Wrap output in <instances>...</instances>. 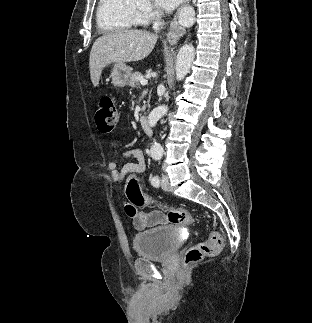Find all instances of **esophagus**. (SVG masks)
<instances>
[{
	"label": "esophagus",
	"mask_w": 312,
	"mask_h": 323,
	"mask_svg": "<svg viewBox=\"0 0 312 323\" xmlns=\"http://www.w3.org/2000/svg\"><path fill=\"white\" fill-rule=\"evenodd\" d=\"M190 0H183L182 6L188 4ZM181 8V7H180ZM180 8L175 13L173 20L170 23V30L167 34V40L170 43V45H177L180 38L186 33V30L184 27L179 25L178 23V16L180 13Z\"/></svg>",
	"instance_id": "obj_1"
}]
</instances>
